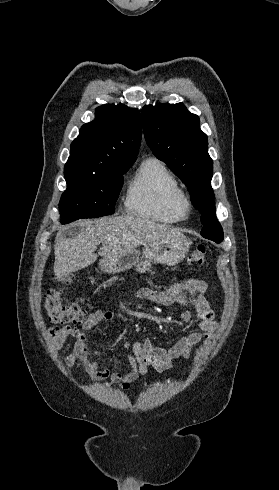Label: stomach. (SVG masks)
<instances>
[{"label": "stomach", "mask_w": 279, "mask_h": 490, "mask_svg": "<svg viewBox=\"0 0 279 490\" xmlns=\"http://www.w3.org/2000/svg\"><path fill=\"white\" fill-rule=\"evenodd\" d=\"M187 252H189V242L185 236L172 238V240H154V242L143 244L142 256L139 250H131L116 258H103L100 260L99 268L101 272H107V274H120L136 266L141 258H144L146 262H154V264L177 266L183 262Z\"/></svg>", "instance_id": "0dacf381"}]
</instances>
